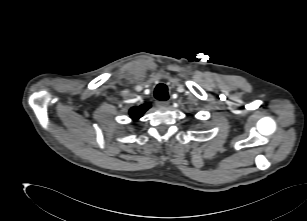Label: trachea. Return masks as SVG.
<instances>
[{"label": "trachea", "mask_w": 307, "mask_h": 221, "mask_svg": "<svg viewBox=\"0 0 307 221\" xmlns=\"http://www.w3.org/2000/svg\"><path fill=\"white\" fill-rule=\"evenodd\" d=\"M154 96L157 100L166 101L169 98L168 88L165 84H158L154 91Z\"/></svg>", "instance_id": "1"}]
</instances>
